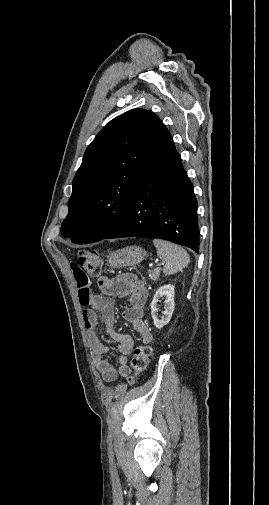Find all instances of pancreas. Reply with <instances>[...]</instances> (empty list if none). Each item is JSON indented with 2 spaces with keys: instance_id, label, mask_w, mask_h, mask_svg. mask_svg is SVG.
I'll return each instance as SVG.
<instances>
[{
  "instance_id": "pancreas-1",
  "label": "pancreas",
  "mask_w": 269,
  "mask_h": 505,
  "mask_svg": "<svg viewBox=\"0 0 269 505\" xmlns=\"http://www.w3.org/2000/svg\"><path fill=\"white\" fill-rule=\"evenodd\" d=\"M161 270L160 269H155L153 271H149V278L153 281L158 280L159 275H160Z\"/></svg>"
}]
</instances>
